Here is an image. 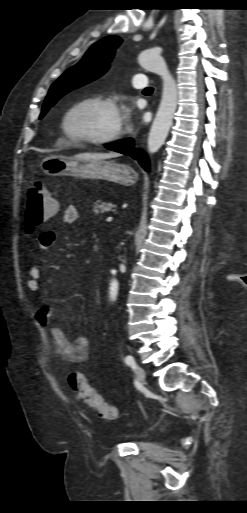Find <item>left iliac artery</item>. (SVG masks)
<instances>
[{"label": "left iliac artery", "mask_w": 247, "mask_h": 513, "mask_svg": "<svg viewBox=\"0 0 247 513\" xmlns=\"http://www.w3.org/2000/svg\"><path fill=\"white\" fill-rule=\"evenodd\" d=\"M125 362H126V364H128L129 366H132V367H135V366H136L135 361H134V358H133L131 355L126 356V358H125Z\"/></svg>", "instance_id": "1"}]
</instances>
